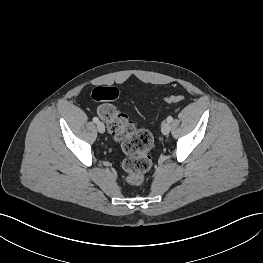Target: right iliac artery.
I'll list each match as a JSON object with an SVG mask.
<instances>
[{
  "label": "right iliac artery",
  "instance_id": "right-iliac-artery-1",
  "mask_svg": "<svg viewBox=\"0 0 263 263\" xmlns=\"http://www.w3.org/2000/svg\"><path fill=\"white\" fill-rule=\"evenodd\" d=\"M93 122L94 123H98L99 122V119L97 117H93Z\"/></svg>",
  "mask_w": 263,
  "mask_h": 263
}]
</instances>
